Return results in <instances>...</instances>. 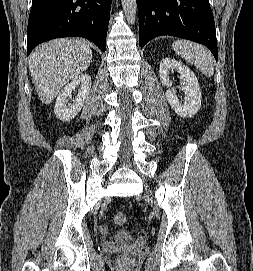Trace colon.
Instances as JSON below:
<instances>
[{
    "label": "colon",
    "mask_w": 253,
    "mask_h": 271,
    "mask_svg": "<svg viewBox=\"0 0 253 271\" xmlns=\"http://www.w3.org/2000/svg\"><path fill=\"white\" fill-rule=\"evenodd\" d=\"M127 221V216L124 212H117L114 216V222L118 225H123Z\"/></svg>",
    "instance_id": "obj_1"
}]
</instances>
